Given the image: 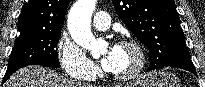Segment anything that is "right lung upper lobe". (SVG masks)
Listing matches in <instances>:
<instances>
[{
    "mask_svg": "<svg viewBox=\"0 0 205 87\" xmlns=\"http://www.w3.org/2000/svg\"><path fill=\"white\" fill-rule=\"evenodd\" d=\"M70 0H29L22 7L18 30H61Z\"/></svg>",
    "mask_w": 205,
    "mask_h": 87,
    "instance_id": "obj_1",
    "label": "right lung upper lobe"
}]
</instances>
